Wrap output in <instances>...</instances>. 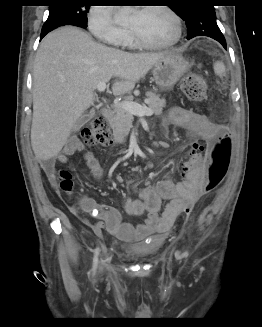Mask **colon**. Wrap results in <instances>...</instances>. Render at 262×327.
I'll list each match as a JSON object with an SVG mask.
<instances>
[{
  "label": "colon",
  "instance_id": "5ec220e1",
  "mask_svg": "<svg viewBox=\"0 0 262 327\" xmlns=\"http://www.w3.org/2000/svg\"><path fill=\"white\" fill-rule=\"evenodd\" d=\"M181 91L193 102H204L207 99V83L203 76L197 73L184 75L179 83ZM81 141L85 146H107L112 141L111 132L103 116L96 117L89 126L81 131ZM206 152L208 166L206 179L203 186V194L217 188L224 180L228 171L231 157V136L224 126L219 127L217 139L210 150H205L200 145H195L191 149L193 152ZM52 186L58 191L69 194L73 190L72 176L67 171H60L51 176ZM201 197L190 198L186 201L182 213L189 215L197 201Z\"/></svg>",
  "mask_w": 262,
  "mask_h": 327
}]
</instances>
